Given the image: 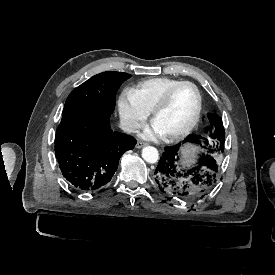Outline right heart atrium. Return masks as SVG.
Returning a JSON list of instances; mask_svg holds the SVG:
<instances>
[{
	"mask_svg": "<svg viewBox=\"0 0 275 275\" xmlns=\"http://www.w3.org/2000/svg\"><path fill=\"white\" fill-rule=\"evenodd\" d=\"M118 106L122 123L129 132L140 128L150 115L133 90H125L121 94Z\"/></svg>",
	"mask_w": 275,
	"mask_h": 275,
	"instance_id": "obj_1",
	"label": "right heart atrium"
}]
</instances>
